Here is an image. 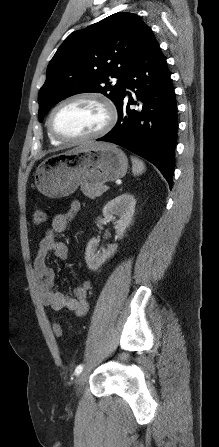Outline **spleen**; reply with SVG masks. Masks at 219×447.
I'll list each match as a JSON object with an SVG mask.
<instances>
[{"mask_svg": "<svg viewBox=\"0 0 219 447\" xmlns=\"http://www.w3.org/2000/svg\"><path fill=\"white\" fill-rule=\"evenodd\" d=\"M131 160H132L133 174L139 175V174L143 173L145 170V165H144L143 161H141L140 159H138L136 157H131Z\"/></svg>", "mask_w": 219, "mask_h": 447, "instance_id": "1", "label": "spleen"}]
</instances>
